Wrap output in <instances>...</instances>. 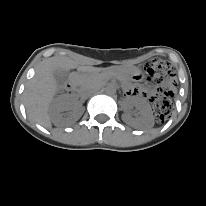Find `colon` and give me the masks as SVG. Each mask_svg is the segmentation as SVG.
<instances>
[{"label":"colon","instance_id":"obj_1","mask_svg":"<svg viewBox=\"0 0 206 206\" xmlns=\"http://www.w3.org/2000/svg\"><path fill=\"white\" fill-rule=\"evenodd\" d=\"M145 71L152 82L163 85L160 89V94L151 97L154 115L158 121H163L171 112V96L175 86V69L170 62L154 59L147 62Z\"/></svg>","mask_w":206,"mask_h":206}]
</instances>
